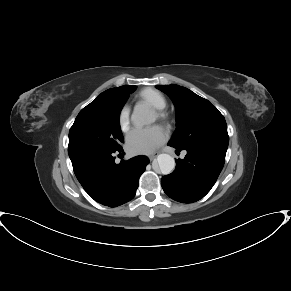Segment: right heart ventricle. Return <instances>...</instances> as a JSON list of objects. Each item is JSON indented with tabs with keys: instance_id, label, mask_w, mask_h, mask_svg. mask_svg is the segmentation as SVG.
Segmentation results:
<instances>
[{
	"instance_id": "1",
	"label": "right heart ventricle",
	"mask_w": 291,
	"mask_h": 291,
	"mask_svg": "<svg viewBox=\"0 0 291 291\" xmlns=\"http://www.w3.org/2000/svg\"><path fill=\"white\" fill-rule=\"evenodd\" d=\"M139 98L142 101L149 103L154 109L157 110H162L166 106L164 96L159 91L152 88L143 89L139 94Z\"/></svg>"
}]
</instances>
